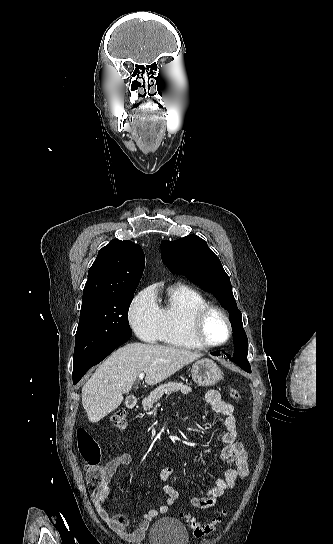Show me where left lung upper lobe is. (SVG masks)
<instances>
[{"label":"left lung upper lobe","mask_w":333,"mask_h":544,"mask_svg":"<svg viewBox=\"0 0 333 544\" xmlns=\"http://www.w3.org/2000/svg\"><path fill=\"white\" fill-rule=\"evenodd\" d=\"M161 257L172 273L185 275L205 291L211 292L229 311L233 331L241 336L239 340H234L232 361L240 367H250L242 314L237 308L230 278L207 243L196 235H189L176 241L164 240L161 242Z\"/></svg>","instance_id":"1"}]
</instances>
